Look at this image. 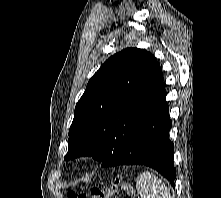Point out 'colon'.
I'll return each mask as SVG.
<instances>
[{"instance_id": "colon-1", "label": "colon", "mask_w": 221, "mask_h": 198, "mask_svg": "<svg viewBox=\"0 0 221 198\" xmlns=\"http://www.w3.org/2000/svg\"><path fill=\"white\" fill-rule=\"evenodd\" d=\"M120 191H125L128 194L131 192L129 185L120 180L104 187L93 188L90 194H78L74 191H69L67 196L68 198H113Z\"/></svg>"}]
</instances>
